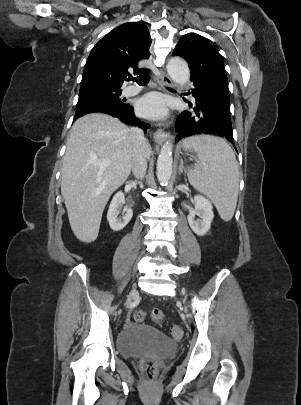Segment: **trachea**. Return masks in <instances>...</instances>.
<instances>
[{
    "label": "trachea",
    "mask_w": 301,
    "mask_h": 405,
    "mask_svg": "<svg viewBox=\"0 0 301 405\" xmlns=\"http://www.w3.org/2000/svg\"><path fill=\"white\" fill-rule=\"evenodd\" d=\"M128 81H135L138 85H146L150 81V76L147 73H143L138 77H130Z\"/></svg>",
    "instance_id": "3493384b"
}]
</instances>
